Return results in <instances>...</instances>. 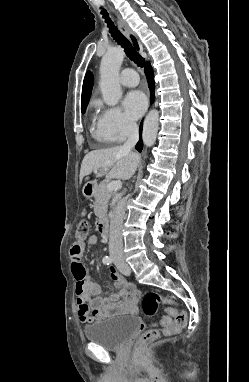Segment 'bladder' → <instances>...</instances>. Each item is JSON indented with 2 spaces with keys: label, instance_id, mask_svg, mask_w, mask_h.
<instances>
[{
  "label": "bladder",
  "instance_id": "bladder-1",
  "mask_svg": "<svg viewBox=\"0 0 249 382\" xmlns=\"http://www.w3.org/2000/svg\"><path fill=\"white\" fill-rule=\"evenodd\" d=\"M140 320L133 315L112 316L94 321L84 328L86 340L106 350H120L132 333L139 327Z\"/></svg>",
  "mask_w": 249,
  "mask_h": 382
}]
</instances>
